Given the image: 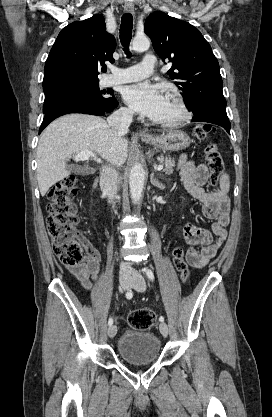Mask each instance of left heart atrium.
<instances>
[{
	"label": "left heart atrium",
	"instance_id": "left-heart-atrium-1",
	"mask_svg": "<svg viewBox=\"0 0 272 417\" xmlns=\"http://www.w3.org/2000/svg\"><path fill=\"white\" fill-rule=\"evenodd\" d=\"M123 97L134 111L153 120L160 116L167 99L159 85L148 82L126 87Z\"/></svg>",
	"mask_w": 272,
	"mask_h": 417
}]
</instances>
